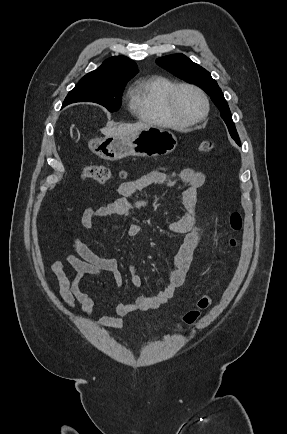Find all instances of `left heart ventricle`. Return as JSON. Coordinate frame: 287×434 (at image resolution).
Masks as SVG:
<instances>
[{"label":"left heart ventricle","mask_w":287,"mask_h":434,"mask_svg":"<svg viewBox=\"0 0 287 434\" xmlns=\"http://www.w3.org/2000/svg\"><path fill=\"white\" fill-rule=\"evenodd\" d=\"M176 108L185 119H195L202 114L203 103L194 91L182 89L177 94Z\"/></svg>","instance_id":"left-heart-ventricle-1"}]
</instances>
